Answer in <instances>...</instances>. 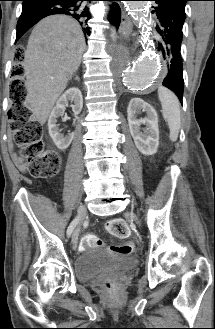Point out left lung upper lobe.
Wrapping results in <instances>:
<instances>
[{"label": "left lung upper lobe", "instance_id": "1", "mask_svg": "<svg viewBox=\"0 0 215 329\" xmlns=\"http://www.w3.org/2000/svg\"><path fill=\"white\" fill-rule=\"evenodd\" d=\"M156 3H161L170 9L174 10L176 13H178L183 18H186L185 14V5L187 1L190 0H155Z\"/></svg>", "mask_w": 215, "mask_h": 329}]
</instances>
